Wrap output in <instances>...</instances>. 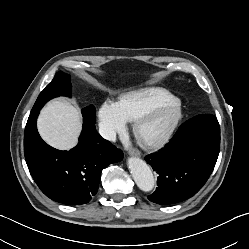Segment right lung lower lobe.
I'll return each instance as SVG.
<instances>
[{"label": "right lung lower lobe", "mask_w": 249, "mask_h": 249, "mask_svg": "<svg viewBox=\"0 0 249 249\" xmlns=\"http://www.w3.org/2000/svg\"><path fill=\"white\" fill-rule=\"evenodd\" d=\"M42 106L33 107L24 133V154L34 181L50 199L69 205L89 202L96 194L102 169L123 159V153L96 131L95 123L83 119L79 142L60 151L40 137L36 120Z\"/></svg>", "instance_id": "obj_1"}]
</instances>
